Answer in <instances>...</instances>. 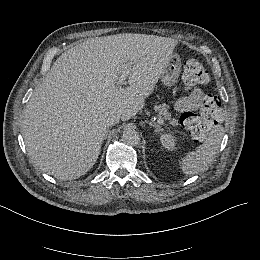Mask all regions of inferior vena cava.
<instances>
[{"label":"inferior vena cava","instance_id":"inferior-vena-cava-1","mask_svg":"<svg viewBox=\"0 0 260 260\" xmlns=\"http://www.w3.org/2000/svg\"><path fill=\"white\" fill-rule=\"evenodd\" d=\"M119 116L115 113H109L105 119V126L110 127L114 126L119 122Z\"/></svg>","mask_w":260,"mask_h":260}]
</instances>
